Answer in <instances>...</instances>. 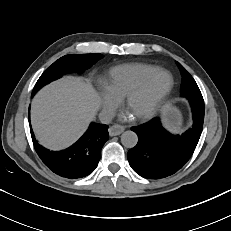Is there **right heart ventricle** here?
<instances>
[{
    "mask_svg": "<svg viewBox=\"0 0 231 231\" xmlns=\"http://www.w3.org/2000/svg\"><path fill=\"white\" fill-rule=\"evenodd\" d=\"M159 68L148 64H124L112 68L105 80L106 89L121 99L146 77Z\"/></svg>",
    "mask_w": 231,
    "mask_h": 231,
    "instance_id": "e07e8e85",
    "label": "right heart ventricle"
}]
</instances>
